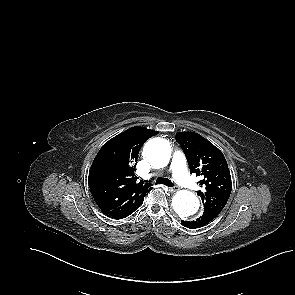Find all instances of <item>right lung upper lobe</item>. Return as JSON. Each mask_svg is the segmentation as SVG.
<instances>
[{"label": "right lung upper lobe", "instance_id": "cb5924a9", "mask_svg": "<svg viewBox=\"0 0 295 295\" xmlns=\"http://www.w3.org/2000/svg\"><path fill=\"white\" fill-rule=\"evenodd\" d=\"M157 131L132 127L106 142L96 155L89 171L91 194L101 211L112 218L134 212L152 189L138 181L135 165L138 154Z\"/></svg>", "mask_w": 295, "mask_h": 295}]
</instances>
